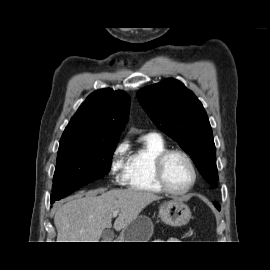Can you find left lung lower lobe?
Wrapping results in <instances>:
<instances>
[{
	"mask_svg": "<svg viewBox=\"0 0 270 270\" xmlns=\"http://www.w3.org/2000/svg\"><path fill=\"white\" fill-rule=\"evenodd\" d=\"M215 207L220 210V206L217 203H214Z\"/></svg>",
	"mask_w": 270,
	"mask_h": 270,
	"instance_id": "obj_1",
	"label": "left lung lower lobe"
}]
</instances>
